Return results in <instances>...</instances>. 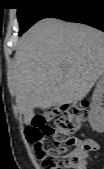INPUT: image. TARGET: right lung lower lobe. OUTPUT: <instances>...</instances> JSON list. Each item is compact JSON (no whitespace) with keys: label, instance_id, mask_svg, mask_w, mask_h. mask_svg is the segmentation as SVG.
<instances>
[{"label":"right lung lower lobe","instance_id":"1","mask_svg":"<svg viewBox=\"0 0 104 169\" xmlns=\"http://www.w3.org/2000/svg\"><path fill=\"white\" fill-rule=\"evenodd\" d=\"M47 17L83 23L104 31V0H66Z\"/></svg>","mask_w":104,"mask_h":169}]
</instances>
